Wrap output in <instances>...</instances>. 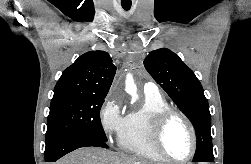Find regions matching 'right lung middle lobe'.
I'll return each instance as SVG.
<instances>
[{
  "instance_id": "dd1d6c3e",
  "label": "right lung middle lobe",
  "mask_w": 251,
  "mask_h": 164,
  "mask_svg": "<svg viewBox=\"0 0 251 164\" xmlns=\"http://www.w3.org/2000/svg\"><path fill=\"white\" fill-rule=\"evenodd\" d=\"M105 96L54 94L47 120L46 141L61 134L88 135L107 142L100 121Z\"/></svg>"
}]
</instances>
